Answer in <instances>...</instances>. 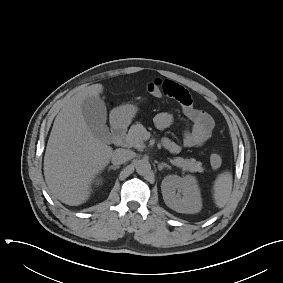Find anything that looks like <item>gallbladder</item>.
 <instances>
[{
	"label": "gallbladder",
	"instance_id": "gallbladder-1",
	"mask_svg": "<svg viewBox=\"0 0 283 283\" xmlns=\"http://www.w3.org/2000/svg\"><path fill=\"white\" fill-rule=\"evenodd\" d=\"M82 114L93 135L104 142H110L111 136L106 125L107 109L104 101L99 97H87L82 105Z\"/></svg>",
	"mask_w": 283,
	"mask_h": 283
}]
</instances>
